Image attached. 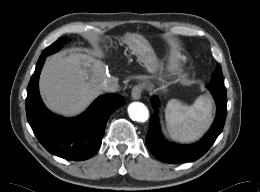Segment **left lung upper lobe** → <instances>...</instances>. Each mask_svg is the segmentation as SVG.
Masks as SVG:
<instances>
[{"label":"left lung upper lobe","mask_w":260,"mask_h":192,"mask_svg":"<svg viewBox=\"0 0 260 192\" xmlns=\"http://www.w3.org/2000/svg\"><path fill=\"white\" fill-rule=\"evenodd\" d=\"M210 84H223L222 69L220 65H218L216 70L213 72Z\"/></svg>","instance_id":"obj_1"}]
</instances>
